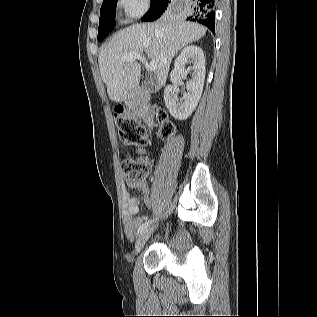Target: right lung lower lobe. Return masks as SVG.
Returning <instances> with one entry per match:
<instances>
[{
	"instance_id": "98d812e1",
	"label": "right lung lower lobe",
	"mask_w": 317,
	"mask_h": 317,
	"mask_svg": "<svg viewBox=\"0 0 317 317\" xmlns=\"http://www.w3.org/2000/svg\"><path fill=\"white\" fill-rule=\"evenodd\" d=\"M171 0H161L142 18L143 21H154L166 10ZM191 15L187 18L207 26L215 34V0H190Z\"/></svg>"
}]
</instances>
